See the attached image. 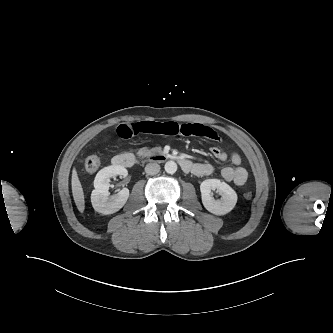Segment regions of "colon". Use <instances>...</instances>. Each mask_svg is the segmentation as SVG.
<instances>
[{"label": "colon", "instance_id": "colon-1", "mask_svg": "<svg viewBox=\"0 0 333 333\" xmlns=\"http://www.w3.org/2000/svg\"><path fill=\"white\" fill-rule=\"evenodd\" d=\"M101 165V159L100 157L96 156V155H90L88 157H86L85 161H84V167L85 170L89 173H93L95 171H97L99 169ZM245 199L249 200L252 198V193L251 192H246L244 194Z\"/></svg>", "mask_w": 333, "mask_h": 333}]
</instances>
